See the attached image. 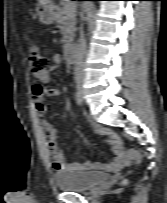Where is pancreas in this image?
<instances>
[{
  "label": "pancreas",
  "instance_id": "cf45deb5",
  "mask_svg": "<svg viewBox=\"0 0 167 203\" xmlns=\"http://www.w3.org/2000/svg\"><path fill=\"white\" fill-rule=\"evenodd\" d=\"M64 6L58 13L57 23L60 25L63 49L68 50L72 46L74 33L76 31V13L68 12Z\"/></svg>",
  "mask_w": 167,
  "mask_h": 203
}]
</instances>
